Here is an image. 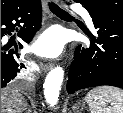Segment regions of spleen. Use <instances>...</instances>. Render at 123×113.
Segmentation results:
<instances>
[{
	"label": "spleen",
	"mask_w": 123,
	"mask_h": 113,
	"mask_svg": "<svg viewBox=\"0 0 123 113\" xmlns=\"http://www.w3.org/2000/svg\"><path fill=\"white\" fill-rule=\"evenodd\" d=\"M91 113H123V90L101 86L89 91L85 97Z\"/></svg>",
	"instance_id": "obj_1"
}]
</instances>
